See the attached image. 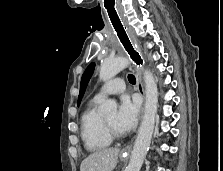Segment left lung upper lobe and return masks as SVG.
<instances>
[{
  "label": "left lung upper lobe",
  "instance_id": "obj_1",
  "mask_svg": "<svg viewBox=\"0 0 223 171\" xmlns=\"http://www.w3.org/2000/svg\"><path fill=\"white\" fill-rule=\"evenodd\" d=\"M94 68H95V64L94 63H91L87 69L85 70L83 76H82V79H81V84H80V93H79V96H78V106L82 100V97L84 95V92L86 90V87L88 85V82L94 72Z\"/></svg>",
  "mask_w": 223,
  "mask_h": 171
}]
</instances>
